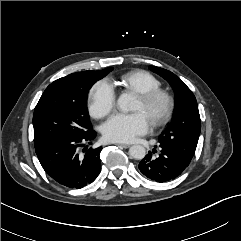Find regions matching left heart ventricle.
I'll list each match as a JSON object with an SVG mask.
<instances>
[{
    "label": "left heart ventricle",
    "mask_w": 241,
    "mask_h": 241,
    "mask_svg": "<svg viewBox=\"0 0 241 241\" xmlns=\"http://www.w3.org/2000/svg\"><path fill=\"white\" fill-rule=\"evenodd\" d=\"M163 107V103L159 102L152 109H147L145 105L142 103V101L137 98L133 107V111L143 112L151 121L155 116L159 115L162 112Z\"/></svg>",
    "instance_id": "1"
}]
</instances>
